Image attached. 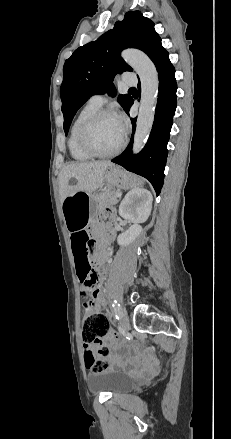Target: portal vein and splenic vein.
Returning a JSON list of instances; mask_svg holds the SVG:
<instances>
[{"instance_id":"1","label":"portal vein and splenic vein","mask_w":231,"mask_h":439,"mask_svg":"<svg viewBox=\"0 0 231 439\" xmlns=\"http://www.w3.org/2000/svg\"><path fill=\"white\" fill-rule=\"evenodd\" d=\"M116 195L119 197V196H121V193H120V192H117Z\"/></svg>"}]
</instances>
